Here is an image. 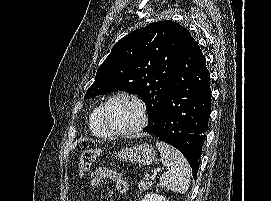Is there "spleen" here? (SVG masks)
Returning <instances> with one entry per match:
<instances>
[{"label": "spleen", "instance_id": "3e777b00", "mask_svg": "<svg viewBox=\"0 0 271 201\" xmlns=\"http://www.w3.org/2000/svg\"><path fill=\"white\" fill-rule=\"evenodd\" d=\"M156 146L160 152L163 166L167 171L160 176V186L173 192L184 194L190 184L191 168L186 158L173 146L157 141Z\"/></svg>", "mask_w": 271, "mask_h": 201}]
</instances>
